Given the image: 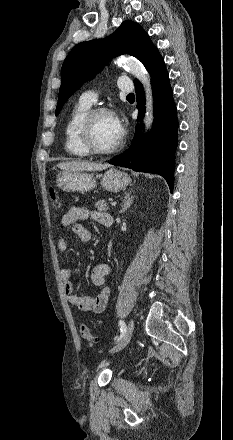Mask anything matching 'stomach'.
I'll return each mask as SVG.
<instances>
[{
  "mask_svg": "<svg viewBox=\"0 0 233 440\" xmlns=\"http://www.w3.org/2000/svg\"><path fill=\"white\" fill-rule=\"evenodd\" d=\"M130 181L126 173L115 168L107 170L101 176V185L109 192L122 190ZM56 183L63 191L87 192L97 186L93 175L83 171H63L57 175Z\"/></svg>",
  "mask_w": 233,
  "mask_h": 440,
  "instance_id": "stomach-1",
  "label": "stomach"
}]
</instances>
